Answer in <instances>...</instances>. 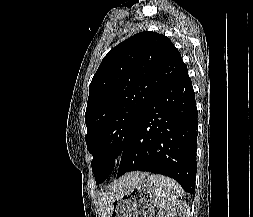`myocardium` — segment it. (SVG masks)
Returning <instances> with one entry per match:
<instances>
[{"label": "myocardium", "instance_id": "f54148a6", "mask_svg": "<svg viewBox=\"0 0 253 217\" xmlns=\"http://www.w3.org/2000/svg\"><path fill=\"white\" fill-rule=\"evenodd\" d=\"M113 157H114V156L112 155V156H111V160L113 159Z\"/></svg>", "mask_w": 253, "mask_h": 217}]
</instances>
